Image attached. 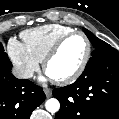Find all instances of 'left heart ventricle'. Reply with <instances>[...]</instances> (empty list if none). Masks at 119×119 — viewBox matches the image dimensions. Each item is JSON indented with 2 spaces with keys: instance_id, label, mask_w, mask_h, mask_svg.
I'll return each mask as SVG.
<instances>
[{
  "instance_id": "1",
  "label": "left heart ventricle",
  "mask_w": 119,
  "mask_h": 119,
  "mask_svg": "<svg viewBox=\"0 0 119 119\" xmlns=\"http://www.w3.org/2000/svg\"><path fill=\"white\" fill-rule=\"evenodd\" d=\"M86 48V42L83 37L74 36L70 38L48 64L47 74L52 79H59L73 73L82 62Z\"/></svg>"
}]
</instances>
